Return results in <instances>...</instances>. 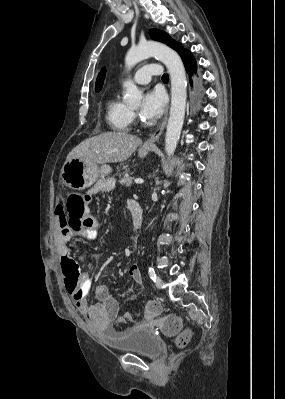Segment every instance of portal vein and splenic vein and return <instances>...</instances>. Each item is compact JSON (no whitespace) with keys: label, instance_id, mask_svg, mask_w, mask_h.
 I'll use <instances>...</instances> for the list:
<instances>
[{"label":"portal vein and splenic vein","instance_id":"portal-vein-and-splenic-vein-1","mask_svg":"<svg viewBox=\"0 0 285 399\" xmlns=\"http://www.w3.org/2000/svg\"><path fill=\"white\" fill-rule=\"evenodd\" d=\"M136 184H143L144 180L143 179H135L134 180Z\"/></svg>","mask_w":285,"mask_h":399}]
</instances>
